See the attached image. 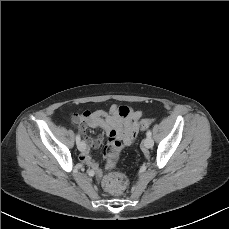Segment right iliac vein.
Segmentation results:
<instances>
[{"instance_id": "right-iliac-vein-1", "label": "right iliac vein", "mask_w": 229, "mask_h": 229, "mask_svg": "<svg viewBox=\"0 0 229 229\" xmlns=\"http://www.w3.org/2000/svg\"><path fill=\"white\" fill-rule=\"evenodd\" d=\"M77 147H78V149H79L80 151H82V150L84 149V147H85L84 142H83V141L79 142V143L77 144Z\"/></svg>"}]
</instances>
